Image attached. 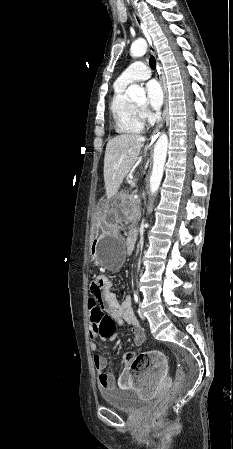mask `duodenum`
Returning a JSON list of instances; mask_svg holds the SVG:
<instances>
[{
	"label": "duodenum",
	"mask_w": 233,
	"mask_h": 449,
	"mask_svg": "<svg viewBox=\"0 0 233 449\" xmlns=\"http://www.w3.org/2000/svg\"><path fill=\"white\" fill-rule=\"evenodd\" d=\"M136 237H137V231L136 230H132L131 233H130V236L128 238V242H127V249H128L129 252H132L133 249H134Z\"/></svg>",
	"instance_id": "obj_1"
}]
</instances>
